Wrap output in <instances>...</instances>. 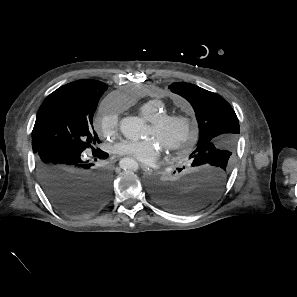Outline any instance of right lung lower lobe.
Here are the masks:
<instances>
[{
    "instance_id": "98d812e1",
    "label": "right lung lower lobe",
    "mask_w": 297,
    "mask_h": 297,
    "mask_svg": "<svg viewBox=\"0 0 297 297\" xmlns=\"http://www.w3.org/2000/svg\"><path fill=\"white\" fill-rule=\"evenodd\" d=\"M99 152L98 158H107V153ZM81 153L65 146H50L36 154L44 192L60 211L69 215L93 213L110 195V175L103 167L82 161Z\"/></svg>"
}]
</instances>
